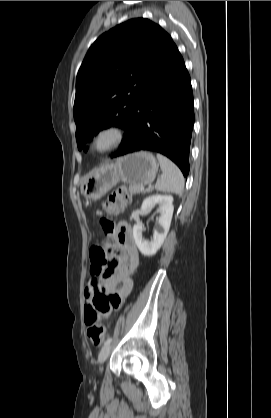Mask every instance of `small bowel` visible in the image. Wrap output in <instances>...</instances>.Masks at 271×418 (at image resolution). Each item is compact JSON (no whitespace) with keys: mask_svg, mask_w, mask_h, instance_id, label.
Returning a JSON list of instances; mask_svg holds the SVG:
<instances>
[{"mask_svg":"<svg viewBox=\"0 0 271 418\" xmlns=\"http://www.w3.org/2000/svg\"><path fill=\"white\" fill-rule=\"evenodd\" d=\"M112 257L117 260V266L111 275L105 277L98 287L95 280L90 281L85 289V312L93 307L97 290H100L110 300L104 315H110L111 312L118 310L132 291L131 275L139 264V252L132 228L127 223L119 224L117 245L112 252ZM119 284L120 288H118Z\"/></svg>","mask_w":271,"mask_h":418,"instance_id":"c3829d8e","label":"small bowel"}]
</instances>
